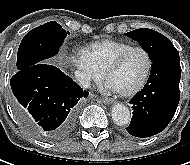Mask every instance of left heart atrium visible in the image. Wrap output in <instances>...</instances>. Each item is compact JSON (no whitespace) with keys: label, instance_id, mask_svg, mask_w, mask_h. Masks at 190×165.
<instances>
[{"label":"left heart atrium","instance_id":"39dd6f15","mask_svg":"<svg viewBox=\"0 0 190 165\" xmlns=\"http://www.w3.org/2000/svg\"><path fill=\"white\" fill-rule=\"evenodd\" d=\"M107 86H108V88H109V89H112V90H114V89H113V88H112V87H111L109 84H107Z\"/></svg>","mask_w":190,"mask_h":165}]
</instances>
